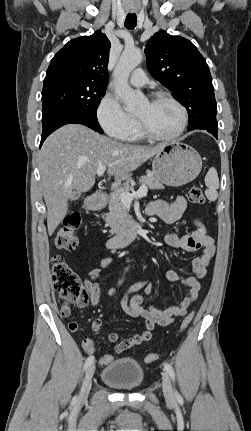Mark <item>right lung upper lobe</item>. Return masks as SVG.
<instances>
[{"label":"right lung upper lobe","instance_id":"1","mask_svg":"<svg viewBox=\"0 0 251 431\" xmlns=\"http://www.w3.org/2000/svg\"><path fill=\"white\" fill-rule=\"evenodd\" d=\"M110 47V41L101 31L72 39L55 54L47 72L63 71L108 84Z\"/></svg>","mask_w":251,"mask_h":431}]
</instances>
